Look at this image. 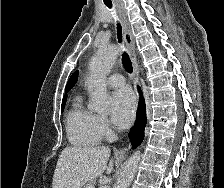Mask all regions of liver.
<instances>
[{
	"label": "liver",
	"mask_w": 224,
	"mask_h": 188,
	"mask_svg": "<svg viewBox=\"0 0 224 188\" xmlns=\"http://www.w3.org/2000/svg\"><path fill=\"white\" fill-rule=\"evenodd\" d=\"M110 149L104 146H70L59 155L52 188H81L86 182L113 170Z\"/></svg>",
	"instance_id": "obj_1"
}]
</instances>
